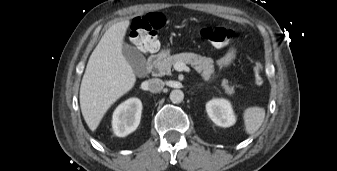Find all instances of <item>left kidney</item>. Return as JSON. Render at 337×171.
I'll use <instances>...</instances> for the list:
<instances>
[{
	"mask_svg": "<svg viewBox=\"0 0 337 171\" xmlns=\"http://www.w3.org/2000/svg\"><path fill=\"white\" fill-rule=\"evenodd\" d=\"M210 119L218 126L230 127L236 119L231 104L226 99H213L206 104Z\"/></svg>",
	"mask_w": 337,
	"mask_h": 171,
	"instance_id": "obj_1",
	"label": "left kidney"
}]
</instances>
